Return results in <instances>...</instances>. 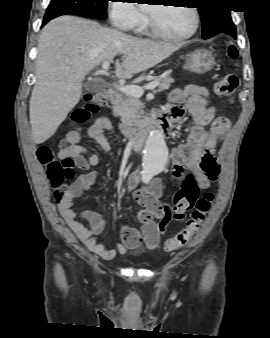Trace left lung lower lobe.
Listing matches in <instances>:
<instances>
[{
    "label": "left lung lower lobe",
    "instance_id": "1",
    "mask_svg": "<svg viewBox=\"0 0 270 338\" xmlns=\"http://www.w3.org/2000/svg\"><path fill=\"white\" fill-rule=\"evenodd\" d=\"M225 33H227V34L233 36L234 38H236L237 35H236V28H235V25L232 26V27H230V28H228V29L226 30Z\"/></svg>",
    "mask_w": 270,
    "mask_h": 338
}]
</instances>
